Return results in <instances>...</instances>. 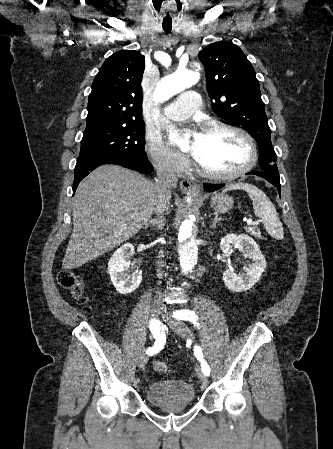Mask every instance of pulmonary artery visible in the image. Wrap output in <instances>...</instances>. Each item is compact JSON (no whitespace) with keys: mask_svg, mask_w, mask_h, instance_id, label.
<instances>
[{"mask_svg":"<svg viewBox=\"0 0 333 449\" xmlns=\"http://www.w3.org/2000/svg\"><path fill=\"white\" fill-rule=\"evenodd\" d=\"M200 95L193 90L183 92L176 100L164 108L165 115L175 121H181L190 116L200 106Z\"/></svg>","mask_w":333,"mask_h":449,"instance_id":"pulmonary-artery-1","label":"pulmonary artery"}]
</instances>
